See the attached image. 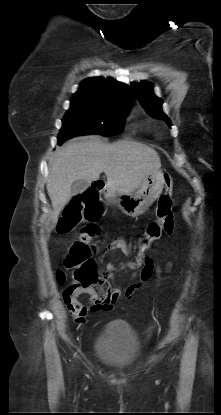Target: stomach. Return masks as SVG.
Segmentation results:
<instances>
[{"label": "stomach", "mask_w": 221, "mask_h": 415, "mask_svg": "<svg viewBox=\"0 0 221 415\" xmlns=\"http://www.w3.org/2000/svg\"><path fill=\"white\" fill-rule=\"evenodd\" d=\"M164 183L163 173L157 171L149 174L134 194H119L107 189L104 196L109 204L117 206L127 216L136 217L143 214L159 197Z\"/></svg>", "instance_id": "1"}]
</instances>
